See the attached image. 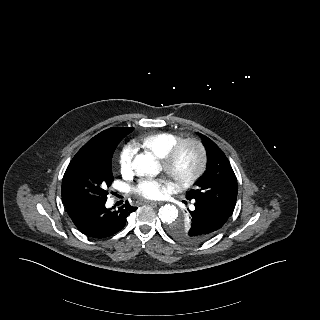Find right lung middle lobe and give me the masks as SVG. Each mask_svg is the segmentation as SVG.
<instances>
[{"label": "right lung middle lobe", "instance_id": "dd1d6c3e", "mask_svg": "<svg viewBox=\"0 0 320 320\" xmlns=\"http://www.w3.org/2000/svg\"><path fill=\"white\" fill-rule=\"evenodd\" d=\"M120 141L121 139L107 141L98 150L78 151L63 176L64 204L107 200V188L114 180L112 156Z\"/></svg>", "mask_w": 320, "mask_h": 320}]
</instances>
